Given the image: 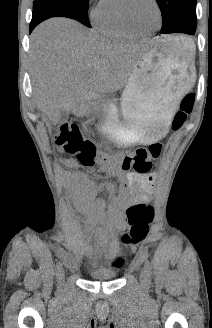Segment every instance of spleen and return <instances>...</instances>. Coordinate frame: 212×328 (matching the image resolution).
Here are the masks:
<instances>
[{"instance_id": "1", "label": "spleen", "mask_w": 212, "mask_h": 328, "mask_svg": "<svg viewBox=\"0 0 212 328\" xmlns=\"http://www.w3.org/2000/svg\"><path fill=\"white\" fill-rule=\"evenodd\" d=\"M174 41L180 42L184 48H186L191 54L195 51L194 42L191 39L184 37H175Z\"/></svg>"}]
</instances>
